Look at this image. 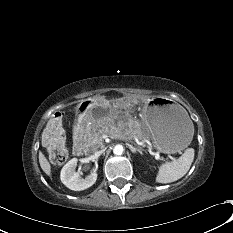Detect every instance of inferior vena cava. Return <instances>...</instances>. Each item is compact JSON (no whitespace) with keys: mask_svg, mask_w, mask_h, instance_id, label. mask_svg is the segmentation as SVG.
I'll use <instances>...</instances> for the list:
<instances>
[{"mask_svg":"<svg viewBox=\"0 0 233 233\" xmlns=\"http://www.w3.org/2000/svg\"><path fill=\"white\" fill-rule=\"evenodd\" d=\"M104 151H105V149L96 151V152L94 153V155L98 157V156H100L102 153H104Z\"/></svg>","mask_w":233,"mask_h":233,"instance_id":"obj_1","label":"inferior vena cava"}]
</instances>
